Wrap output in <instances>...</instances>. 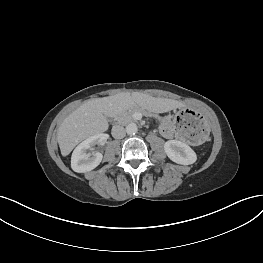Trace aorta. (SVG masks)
Segmentation results:
<instances>
[{"instance_id": "obj_1", "label": "aorta", "mask_w": 263, "mask_h": 263, "mask_svg": "<svg viewBox=\"0 0 263 263\" xmlns=\"http://www.w3.org/2000/svg\"><path fill=\"white\" fill-rule=\"evenodd\" d=\"M126 133L129 134V135H134L137 133L138 131V127L135 123H129L126 125Z\"/></svg>"}]
</instances>
